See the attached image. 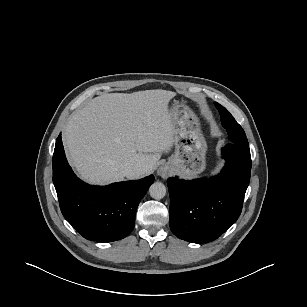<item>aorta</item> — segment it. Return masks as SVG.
Segmentation results:
<instances>
[{
    "instance_id": "obj_1",
    "label": "aorta",
    "mask_w": 307,
    "mask_h": 307,
    "mask_svg": "<svg viewBox=\"0 0 307 307\" xmlns=\"http://www.w3.org/2000/svg\"><path fill=\"white\" fill-rule=\"evenodd\" d=\"M149 193L154 199H162L166 195V187L161 182H155L150 186Z\"/></svg>"
}]
</instances>
